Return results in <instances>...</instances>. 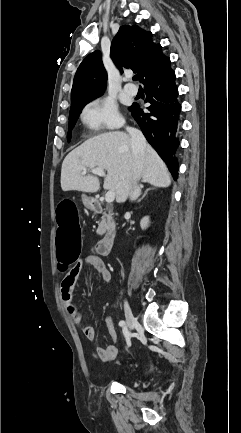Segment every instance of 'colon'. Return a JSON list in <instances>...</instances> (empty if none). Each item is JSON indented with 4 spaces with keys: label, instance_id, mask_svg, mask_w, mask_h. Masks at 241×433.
<instances>
[{
    "label": "colon",
    "instance_id": "5ec220e1",
    "mask_svg": "<svg viewBox=\"0 0 241 433\" xmlns=\"http://www.w3.org/2000/svg\"><path fill=\"white\" fill-rule=\"evenodd\" d=\"M79 211V205H73L70 197H63L57 212L53 213V220L58 223L55 232L56 267L62 272L72 270L75 261H78L79 249L83 245Z\"/></svg>",
    "mask_w": 241,
    "mask_h": 433
}]
</instances>
